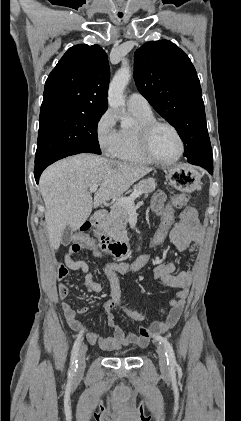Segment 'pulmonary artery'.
I'll return each mask as SVG.
<instances>
[{"label": "pulmonary artery", "instance_id": "obj_1", "mask_svg": "<svg viewBox=\"0 0 241 421\" xmlns=\"http://www.w3.org/2000/svg\"><path fill=\"white\" fill-rule=\"evenodd\" d=\"M127 105L129 109L143 112L151 111L149 102L139 93H131L127 99Z\"/></svg>", "mask_w": 241, "mask_h": 421}]
</instances>
